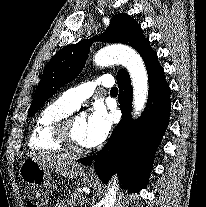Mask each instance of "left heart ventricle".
<instances>
[{"instance_id":"b2bd125f","label":"left heart ventricle","mask_w":206,"mask_h":207,"mask_svg":"<svg viewBox=\"0 0 206 207\" xmlns=\"http://www.w3.org/2000/svg\"><path fill=\"white\" fill-rule=\"evenodd\" d=\"M86 119L77 117L72 126V138L76 145L80 147H87L85 141Z\"/></svg>"}]
</instances>
